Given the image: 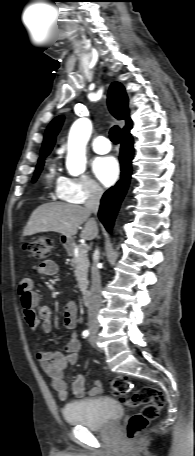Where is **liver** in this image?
<instances>
[{
	"instance_id": "1",
	"label": "liver",
	"mask_w": 195,
	"mask_h": 456,
	"mask_svg": "<svg viewBox=\"0 0 195 456\" xmlns=\"http://www.w3.org/2000/svg\"><path fill=\"white\" fill-rule=\"evenodd\" d=\"M85 207L67 203H46L40 205L31 214L24 228V236L42 232H57L72 237L79 227L85 223L80 237L93 240L98 235V225Z\"/></svg>"
}]
</instances>
